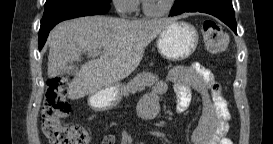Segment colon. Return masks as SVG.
<instances>
[{
  "label": "colon",
  "mask_w": 273,
  "mask_h": 144,
  "mask_svg": "<svg viewBox=\"0 0 273 144\" xmlns=\"http://www.w3.org/2000/svg\"><path fill=\"white\" fill-rule=\"evenodd\" d=\"M205 45L212 53H220L227 47L228 39L222 28L213 20H205L202 25ZM68 81L65 78L49 80L42 107V130L52 144H86L89 133L79 125L68 126L63 120L70 113L67 101Z\"/></svg>",
  "instance_id": "obj_1"
}]
</instances>
